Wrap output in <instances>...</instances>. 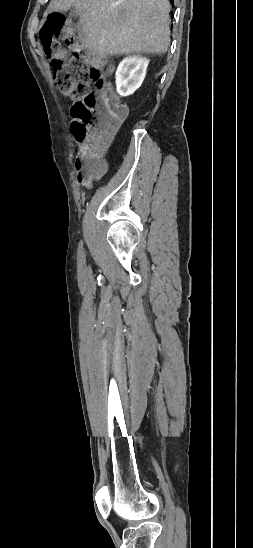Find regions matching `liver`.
I'll list each match as a JSON object with an SVG mask.
<instances>
[{
	"mask_svg": "<svg viewBox=\"0 0 253 548\" xmlns=\"http://www.w3.org/2000/svg\"><path fill=\"white\" fill-rule=\"evenodd\" d=\"M71 7L79 15L82 45L100 57L168 50V0H51L46 14Z\"/></svg>",
	"mask_w": 253,
	"mask_h": 548,
	"instance_id": "liver-1",
	"label": "liver"
}]
</instances>
